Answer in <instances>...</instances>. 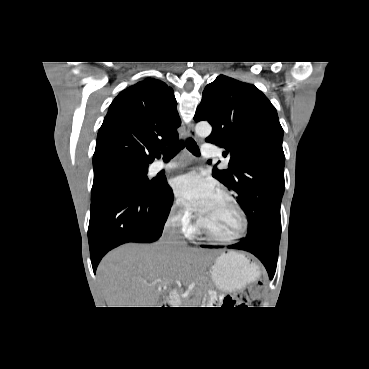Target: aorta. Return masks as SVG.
I'll return each instance as SVG.
<instances>
[{
  "mask_svg": "<svg viewBox=\"0 0 369 369\" xmlns=\"http://www.w3.org/2000/svg\"><path fill=\"white\" fill-rule=\"evenodd\" d=\"M212 127L207 122H199L195 127V132L200 137H207L211 134Z\"/></svg>",
  "mask_w": 369,
  "mask_h": 369,
  "instance_id": "762f6f07",
  "label": "aorta"
}]
</instances>
